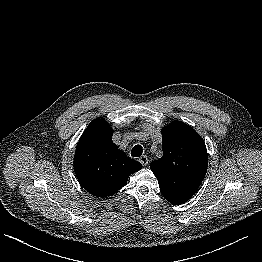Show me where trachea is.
Listing matches in <instances>:
<instances>
[{"label":"trachea","instance_id":"1","mask_svg":"<svg viewBox=\"0 0 262 262\" xmlns=\"http://www.w3.org/2000/svg\"><path fill=\"white\" fill-rule=\"evenodd\" d=\"M143 153V148L141 145H135L131 151V156L140 157Z\"/></svg>","mask_w":262,"mask_h":262}]
</instances>
